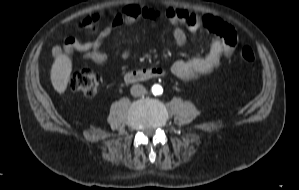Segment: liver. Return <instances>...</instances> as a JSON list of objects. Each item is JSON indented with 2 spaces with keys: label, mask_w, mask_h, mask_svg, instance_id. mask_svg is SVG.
<instances>
[{
  "label": "liver",
  "mask_w": 299,
  "mask_h": 190,
  "mask_svg": "<svg viewBox=\"0 0 299 190\" xmlns=\"http://www.w3.org/2000/svg\"><path fill=\"white\" fill-rule=\"evenodd\" d=\"M72 61L67 55H60L56 58L51 69V82L54 89L62 94L65 92L70 80Z\"/></svg>",
  "instance_id": "6515ba94"
}]
</instances>
